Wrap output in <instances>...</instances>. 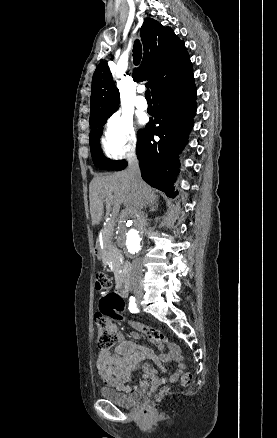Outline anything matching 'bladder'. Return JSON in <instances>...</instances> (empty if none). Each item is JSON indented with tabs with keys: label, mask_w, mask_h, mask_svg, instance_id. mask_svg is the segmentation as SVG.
I'll return each mask as SVG.
<instances>
[{
	"label": "bladder",
	"mask_w": 277,
	"mask_h": 438,
	"mask_svg": "<svg viewBox=\"0 0 277 438\" xmlns=\"http://www.w3.org/2000/svg\"><path fill=\"white\" fill-rule=\"evenodd\" d=\"M98 395L101 396L104 401L110 402L118 407H133L139 404L143 397L139 392L126 394L113 387L100 388Z\"/></svg>",
	"instance_id": "obj_1"
}]
</instances>
